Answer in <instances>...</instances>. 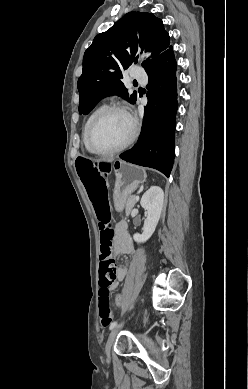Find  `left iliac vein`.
<instances>
[{"instance_id": "4c4485c4", "label": "left iliac vein", "mask_w": 248, "mask_h": 389, "mask_svg": "<svg viewBox=\"0 0 248 389\" xmlns=\"http://www.w3.org/2000/svg\"><path fill=\"white\" fill-rule=\"evenodd\" d=\"M123 324H120L118 326H116L115 328H113L108 336V339H107V342H106V346H105V352H106V355H107V358L109 359L110 358V351H111V347L114 343V340L116 338V335L117 333L119 332V330L122 328Z\"/></svg>"}]
</instances>
